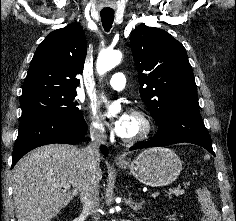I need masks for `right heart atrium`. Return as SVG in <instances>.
I'll use <instances>...</instances> for the list:
<instances>
[{
    "mask_svg": "<svg viewBox=\"0 0 236 221\" xmlns=\"http://www.w3.org/2000/svg\"><path fill=\"white\" fill-rule=\"evenodd\" d=\"M89 131L98 140H103L108 135V128L105 122L95 111H91L89 115Z\"/></svg>",
    "mask_w": 236,
    "mask_h": 221,
    "instance_id": "obj_1",
    "label": "right heart atrium"
}]
</instances>
